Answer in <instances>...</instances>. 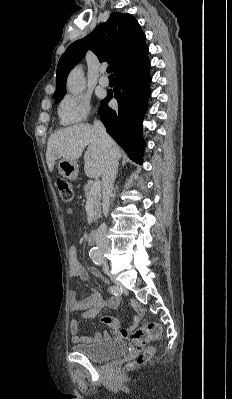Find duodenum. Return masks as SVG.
Masks as SVG:
<instances>
[{
  "mask_svg": "<svg viewBox=\"0 0 232 399\" xmlns=\"http://www.w3.org/2000/svg\"><path fill=\"white\" fill-rule=\"evenodd\" d=\"M97 240V231L96 230H90L87 234V241L89 244H95Z\"/></svg>",
  "mask_w": 232,
  "mask_h": 399,
  "instance_id": "410a0bca",
  "label": "duodenum"
}]
</instances>
